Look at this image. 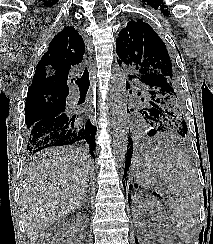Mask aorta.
<instances>
[{
	"instance_id": "aorta-1",
	"label": "aorta",
	"mask_w": 213,
	"mask_h": 244,
	"mask_svg": "<svg viewBox=\"0 0 213 244\" xmlns=\"http://www.w3.org/2000/svg\"><path fill=\"white\" fill-rule=\"evenodd\" d=\"M112 93L113 151L116 166L118 169L122 170L125 164V156L128 146V120L126 105V74L119 66L113 68Z\"/></svg>"
}]
</instances>
